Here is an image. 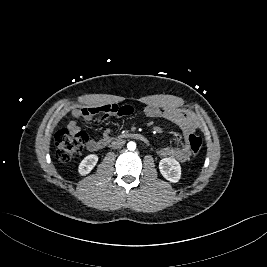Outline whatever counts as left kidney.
I'll list each match as a JSON object with an SVG mask.
<instances>
[{
	"instance_id": "obj_1",
	"label": "left kidney",
	"mask_w": 267,
	"mask_h": 267,
	"mask_svg": "<svg viewBox=\"0 0 267 267\" xmlns=\"http://www.w3.org/2000/svg\"><path fill=\"white\" fill-rule=\"evenodd\" d=\"M159 170L162 176L172 182L176 183L181 178V166L174 158H163L159 162Z\"/></svg>"
}]
</instances>
